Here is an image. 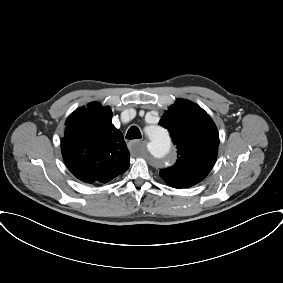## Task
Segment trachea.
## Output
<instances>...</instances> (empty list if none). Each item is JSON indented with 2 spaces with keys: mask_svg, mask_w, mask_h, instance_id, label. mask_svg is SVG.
Here are the masks:
<instances>
[{
  "mask_svg": "<svg viewBox=\"0 0 283 283\" xmlns=\"http://www.w3.org/2000/svg\"><path fill=\"white\" fill-rule=\"evenodd\" d=\"M140 138H141V133L138 127L136 126L130 127L126 134V139H140Z\"/></svg>",
  "mask_w": 283,
  "mask_h": 283,
  "instance_id": "trachea-1",
  "label": "trachea"
}]
</instances>
